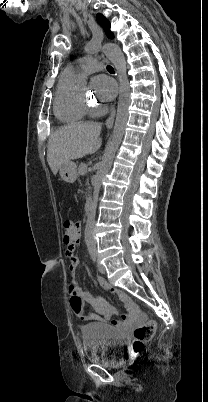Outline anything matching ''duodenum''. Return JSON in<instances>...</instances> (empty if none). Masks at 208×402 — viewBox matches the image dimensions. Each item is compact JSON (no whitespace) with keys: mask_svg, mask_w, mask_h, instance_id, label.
<instances>
[{"mask_svg":"<svg viewBox=\"0 0 208 402\" xmlns=\"http://www.w3.org/2000/svg\"><path fill=\"white\" fill-rule=\"evenodd\" d=\"M91 206H92V199H91V198H88V199L86 200V203H85V210H86L87 212L90 211Z\"/></svg>","mask_w":208,"mask_h":402,"instance_id":"410a0bca","label":"duodenum"}]
</instances>
